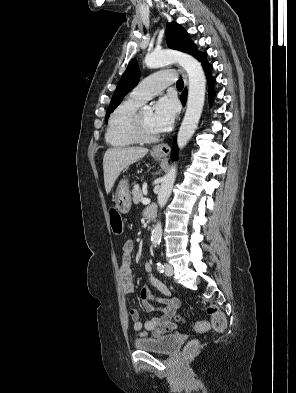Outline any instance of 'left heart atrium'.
Returning <instances> with one entry per match:
<instances>
[{"label": "left heart atrium", "mask_w": 296, "mask_h": 393, "mask_svg": "<svg viewBox=\"0 0 296 393\" xmlns=\"http://www.w3.org/2000/svg\"><path fill=\"white\" fill-rule=\"evenodd\" d=\"M178 111L176 100L171 96L161 97L155 104L152 115V127L156 132L170 128Z\"/></svg>", "instance_id": "left-heart-atrium-1"}]
</instances>
